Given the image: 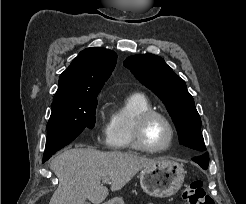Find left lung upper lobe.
Returning <instances> with one entry per match:
<instances>
[{
	"instance_id": "1",
	"label": "left lung upper lobe",
	"mask_w": 246,
	"mask_h": 204,
	"mask_svg": "<svg viewBox=\"0 0 246 204\" xmlns=\"http://www.w3.org/2000/svg\"><path fill=\"white\" fill-rule=\"evenodd\" d=\"M134 76L166 106L179 135L181 145L206 150L201 133V118L184 80L176 75L164 59L153 54H138L124 61Z\"/></svg>"
}]
</instances>
